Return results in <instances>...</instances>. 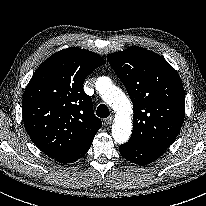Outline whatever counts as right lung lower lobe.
Returning a JSON list of instances; mask_svg holds the SVG:
<instances>
[{
	"label": "right lung lower lobe",
	"mask_w": 206,
	"mask_h": 206,
	"mask_svg": "<svg viewBox=\"0 0 206 206\" xmlns=\"http://www.w3.org/2000/svg\"><path fill=\"white\" fill-rule=\"evenodd\" d=\"M91 144L92 143H89L87 146L80 149L79 151H77L73 154H69L67 156H64L62 158H59L56 161H58L60 163H70V162L76 161V160H78L79 158H81L82 156H84L87 153V151L89 150Z\"/></svg>",
	"instance_id": "right-lung-lower-lobe-1"
}]
</instances>
